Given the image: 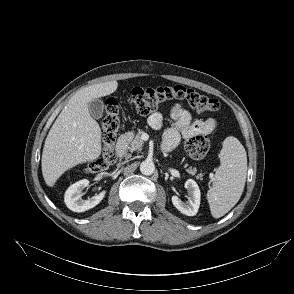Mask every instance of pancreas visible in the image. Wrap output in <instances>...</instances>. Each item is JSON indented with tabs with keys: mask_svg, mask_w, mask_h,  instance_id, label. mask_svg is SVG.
I'll return each instance as SVG.
<instances>
[{
	"mask_svg": "<svg viewBox=\"0 0 294 294\" xmlns=\"http://www.w3.org/2000/svg\"><path fill=\"white\" fill-rule=\"evenodd\" d=\"M143 132L144 131L139 130L137 133L128 132L126 134L129 151L133 152L135 150H138V151L142 150L144 141L141 139V135L143 134ZM187 172L191 175H195L197 179H201L203 177L202 173L196 174V169L192 167L188 168Z\"/></svg>",
	"mask_w": 294,
	"mask_h": 294,
	"instance_id": "obj_1",
	"label": "pancreas"
}]
</instances>
